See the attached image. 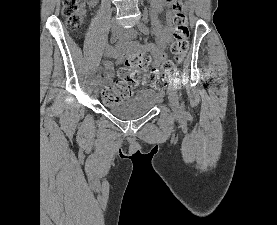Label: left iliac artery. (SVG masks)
Segmentation results:
<instances>
[{
	"label": "left iliac artery",
	"mask_w": 277,
	"mask_h": 225,
	"mask_svg": "<svg viewBox=\"0 0 277 225\" xmlns=\"http://www.w3.org/2000/svg\"><path fill=\"white\" fill-rule=\"evenodd\" d=\"M138 28L143 34H145V35L149 34V28L144 23L140 22L138 24ZM173 81H174V84L176 85V88L179 91H181V81H180V79L178 77H175Z\"/></svg>",
	"instance_id": "1"
}]
</instances>
